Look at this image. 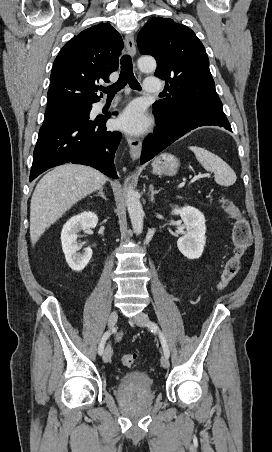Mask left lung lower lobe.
Listing matches in <instances>:
<instances>
[{"mask_svg":"<svg viewBox=\"0 0 272 452\" xmlns=\"http://www.w3.org/2000/svg\"><path fill=\"white\" fill-rule=\"evenodd\" d=\"M158 127L143 142L141 164L152 159L187 132L201 126L214 125L232 131L224 112L191 113L186 116L161 114L154 110Z\"/></svg>","mask_w":272,"mask_h":452,"instance_id":"0a47b994","label":"left lung lower lobe"}]
</instances>
